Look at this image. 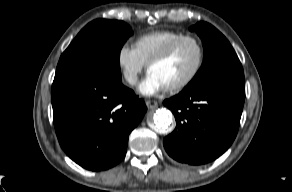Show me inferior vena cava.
<instances>
[{"instance_id": "1", "label": "inferior vena cava", "mask_w": 292, "mask_h": 192, "mask_svg": "<svg viewBox=\"0 0 292 192\" xmlns=\"http://www.w3.org/2000/svg\"><path fill=\"white\" fill-rule=\"evenodd\" d=\"M136 80H137L136 78H131V79H129V83L130 84H135Z\"/></svg>"}]
</instances>
